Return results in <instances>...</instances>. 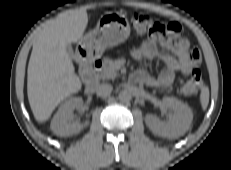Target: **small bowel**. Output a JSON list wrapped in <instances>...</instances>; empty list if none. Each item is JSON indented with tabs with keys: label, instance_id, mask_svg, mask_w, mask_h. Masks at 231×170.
I'll return each mask as SVG.
<instances>
[{
	"label": "small bowel",
	"instance_id": "small-bowel-1",
	"mask_svg": "<svg viewBox=\"0 0 231 170\" xmlns=\"http://www.w3.org/2000/svg\"><path fill=\"white\" fill-rule=\"evenodd\" d=\"M166 34L160 39L149 38L132 50L133 58L143 61L160 59L164 68L157 76L150 75L144 68L138 69L134 78L149 87L167 88L179 80L178 75H188L199 64L201 54L191 49L189 41L182 37V26L177 21L165 25ZM158 45L169 50L170 54H162Z\"/></svg>",
	"mask_w": 231,
	"mask_h": 170
}]
</instances>
